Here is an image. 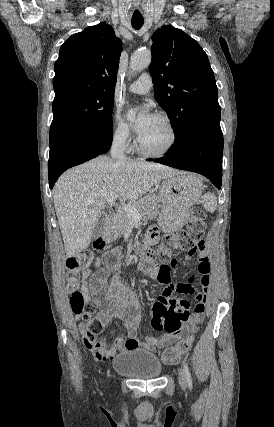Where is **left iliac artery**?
<instances>
[{"mask_svg":"<svg viewBox=\"0 0 274 427\" xmlns=\"http://www.w3.org/2000/svg\"><path fill=\"white\" fill-rule=\"evenodd\" d=\"M183 370H184L185 375H186L187 385H188L189 389L191 390L192 389V377L190 375L188 365L185 362H183Z\"/></svg>","mask_w":274,"mask_h":427,"instance_id":"left-iliac-artery-1","label":"left iliac artery"}]
</instances>
